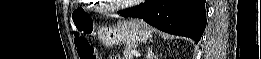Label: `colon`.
<instances>
[{
    "mask_svg": "<svg viewBox=\"0 0 261 59\" xmlns=\"http://www.w3.org/2000/svg\"><path fill=\"white\" fill-rule=\"evenodd\" d=\"M71 29L79 58L98 59L97 52L88 39L94 32L92 20L81 12H74L71 17Z\"/></svg>",
    "mask_w": 261,
    "mask_h": 59,
    "instance_id": "1",
    "label": "colon"
}]
</instances>
